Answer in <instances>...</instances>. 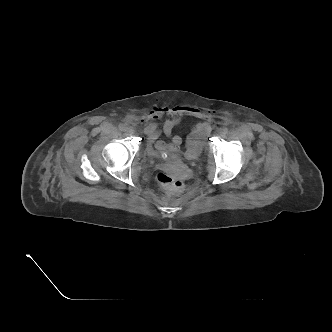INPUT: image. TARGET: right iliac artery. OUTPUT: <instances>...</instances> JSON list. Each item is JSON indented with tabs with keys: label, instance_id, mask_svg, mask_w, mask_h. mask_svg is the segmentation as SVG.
Wrapping results in <instances>:
<instances>
[{
	"label": "right iliac artery",
	"instance_id": "82829eb1",
	"mask_svg": "<svg viewBox=\"0 0 332 332\" xmlns=\"http://www.w3.org/2000/svg\"><path fill=\"white\" fill-rule=\"evenodd\" d=\"M119 129H120L121 131H124V130H126V126H125L124 124H120V125H119Z\"/></svg>",
	"mask_w": 332,
	"mask_h": 332
}]
</instances>
